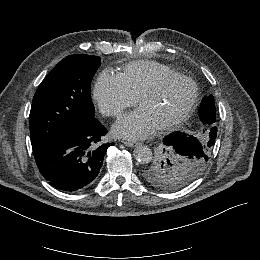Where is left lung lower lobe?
<instances>
[{"label":"left lung lower lobe","mask_w":260,"mask_h":260,"mask_svg":"<svg viewBox=\"0 0 260 260\" xmlns=\"http://www.w3.org/2000/svg\"><path fill=\"white\" fill-rule=\"evenodd\" d=\"M211 108V105L208 103V98L205 97L199 109V116L203 123H208L212 120ZM216 136L217 127L211 130V144L215 143ZM164 142L180 154L199 155L204 152V147L200 140L188 133H171L165 137Z\"/></svg>","instance_id":"left-lung-lower-lobe-1"}]
</instances>
